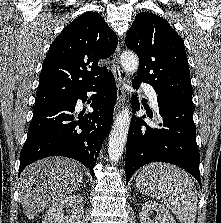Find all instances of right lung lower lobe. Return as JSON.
<instances>
[{
    "instance_id": "right-lung-lower-lobe-1",
    "label": "right lung lower lobe",
    "mask_w": 221,
    "mask_h": 223,
    "mask_svg": "<svg viewBox=\"0 0 221 223\" xmlns=\"http://www.w3.org/2000/svg\"><path fill=\"white\" fill-rule=\"evenodd\" d=\"M96 91L92 113L74 114L78 99H87V92ZM117 98L114 76L108 72L99 81L75 95L35 108L28 136L20 154L19 174L45 157L65 156L93 168L105 137L110 132Z\"/></svg>"
}]
</instances>
